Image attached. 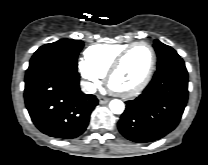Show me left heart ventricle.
<instances>
[{
	"mask_svg": "<svg viewBox=\"0 0 208 165\" xmlns=\"http://www.w3.org/2000/svg\"><path fill=\"white\" fill-rule=\"evenodd\" d=\"M151 52L146 46L134 48L126 57L120 69L113 77V85L120 89H129L139 84L148 71Z\"/></svg>",
	"mask_w": 208,
	"mask_h": 165,
	"instance_id": "1",
	"label": "left heart ventricle"
}]
</instances>
